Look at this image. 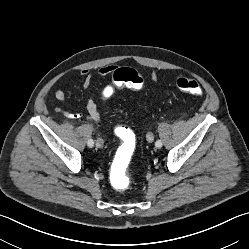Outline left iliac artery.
<instances>
[{"label": "left iliac artery", "mask_w": 249, "mask_h": 249, "mask_svg": "<svg viewBox=\"0 0 249 249\" xmlns=\"http://www.w3.org/2000/svg\"><path fill=\"white\" fill-rule=\"evenodd\" d=\"M155 146H156L157 148H161V147H162V142H161L160 140H157V141L155 142Z\"/></svg>", "instance_id": "obj_1"}]
</instances>
